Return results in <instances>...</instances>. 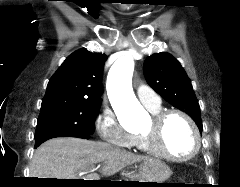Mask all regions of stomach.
Returning a JSON list of instances; mask_svg holds the SVG:
<instances>
[{
    "label": "stomach",
    "instance_id": "stomach-1",
    "mask_svg": "<svg viewBox=\"0 0 240 187\" xmlns=\"http://www.w3.org/2000/svg\"><path fill=\"white\" fill-rule=\"evenodd\" d=\"M170 175L171 170L165 162L158 159H150L144 161L142 164L138 178L145 180L140 182H156L146 184H149V186H157V183H164Z\"/></svg>",
    "mask_w": 240,
    "mask_h": 187
}]
</instances>
